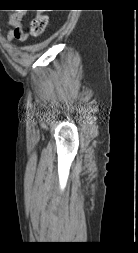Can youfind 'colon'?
Listing matches in <instances>:
<instances>
[{"mask_svg":"<svg viewBox=\"0 0 138 253\" xmlns=\"http://www.w3.org/2000/svg\"><path fill=\"white\" fill-rule=\"evenodd\" d=\"M48 24V16L43 13H38L32 20L30 34L33 37L41 36Z\"/></svg>","mask_w":138,"mask_h":253,"instance_id":"5ec220e1","label":"colon"}]
</instances>
